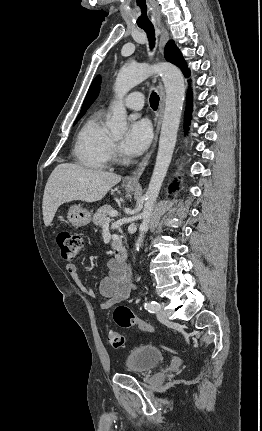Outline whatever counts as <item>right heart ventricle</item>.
I'll use <instances>...</instances> for the list:
<instances>
[{
    "label": "right heart ventricle",
    "mask_w": 262,
    "mask_h": 431,
    "mask_svg": "<svg viewBox=\"0 0 262 431\" xmlns=\"http://www.w3.org/2000/svg\"><path fill=\"white\" fill-rule=\"evenodd\" d=\"M102 112L89 116L81 126L74 145L78 162L90 169H104L110 158L111 136L103 125Z\"/></svg>",
    "instance_id": "1"
}]
</instances>
